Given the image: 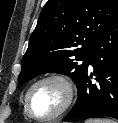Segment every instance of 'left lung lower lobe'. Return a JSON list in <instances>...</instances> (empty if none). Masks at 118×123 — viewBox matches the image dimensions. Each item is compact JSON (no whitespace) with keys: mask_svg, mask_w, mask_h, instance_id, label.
<instances>
[{"mask_svg":"<svg viewBox=\"0 0 118 123\" xmlns=\"http://www.w3.org/2000/svg\"><path fill=\"white\" fill-rule=\"evenodd\" d=\"M89 116L118 119V18L94 44L77 102L63 121Z\"/></svg>","mask_w":118,"mask_h":123,"instance_id":"left-lung-lower-lobe-1","label":"left lung lower lobe"}]
</instances>
